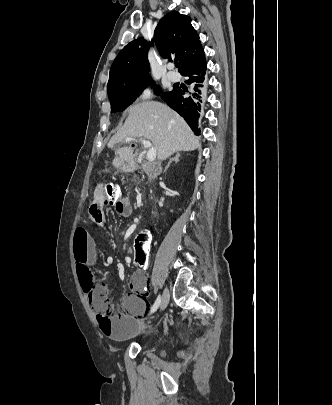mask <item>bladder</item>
Masks as SVG:
<instances>
[{
  "instance_id": "obj_1",
  "label": "bladder",
  "mask_w": 332,
  "mask_h": 405,
  "mask_svg": "<svg viewBox=\"0 0 332 405\" xmlns=\"http://www.w3.org/2000/svg\"><path fill=\"white\" fill-rule=\"evenodd\" d=\"M158 354H159L160 356H163L164 353H163V351L161 350V351L158 352Z\"/></svg>"
}]
</instances>
